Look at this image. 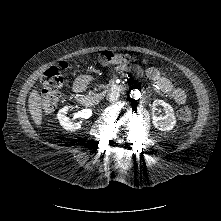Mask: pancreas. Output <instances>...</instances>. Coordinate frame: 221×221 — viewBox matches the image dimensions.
Here are the masks:
<instances>
[{"instance_id":"obj_1","label":"pancreas","mask_w":221,"mask_h":221,"mask_svg":"<svg viewBox=\"0 0 221 221\" xmlns=\"http://www.w3.org/2000/svg\"><path fill=\"white\" fill-rule=\"evenodd\" d=\"M112 80L109 81L108 84L106 85H99L98 89H103V92L105 93L106 91L110 90L112 88ZM94 98L98 97V94H92Z\"/></svg>"}]
</instances>
